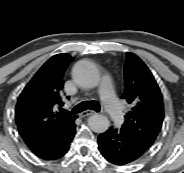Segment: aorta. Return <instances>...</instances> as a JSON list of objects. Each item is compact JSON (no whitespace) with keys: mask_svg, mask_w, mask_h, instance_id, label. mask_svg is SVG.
<instances>
[{"mask_svg":"<svg viewBox=\"0 0 184 173\" xmlns=\"http://www.w3.org/2000/svg\"><path fill=\"white\" fill-rule=\"evenodd\" d=\"M75 75L78 82L86 88H94L100 82V74L97 67L90 61H82L75 67ZM89 127L96 133H104L110 127L109 119L102 114H94L88 119Z\"/></svg>","mask_w":184,"mask_h":173,"instance_id":"aorta-1","label":"aorta"}]
</instances>
